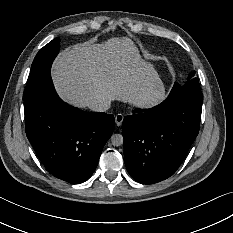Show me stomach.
Wrapping results in <instances>:
<instances>
[{
  "label": "stomach",
  "mask_w": 233,
  "mask_h": 233,
  "mask_svg": "<svg viewBox=\"0 0 233 233\" xmlns=\"http://www.w3.org/2000/svg\"><path fill=\"white\" fill-rule=\"evenodd\" d=\"M144 67L146 71H153L156 72L153 62L148 59H144ZM152 90L156 91L157 93L161 94L163 98H165V85L162 80L158 77L157 80H152Z\"/></svg>",
  "instance_id": "obj_1"
}]
</instances>
